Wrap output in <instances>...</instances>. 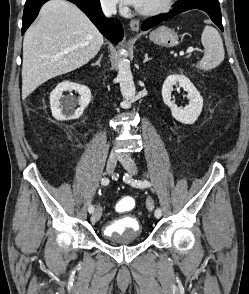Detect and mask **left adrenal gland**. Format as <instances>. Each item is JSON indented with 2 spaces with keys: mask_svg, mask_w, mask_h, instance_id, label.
Returning <instances> with one entry per match:
<instances>
[{
  "mask_svg": "<svg viewBox=\"0 0 249 294\" xmlns=\"http://www.w3.org/2000/svg\"><path fill=\"white\" fill-rule=\"evenodd\" d=\"M144 61L143 63H146L147 61H149L151 58L148 57V54L146 53L145 56H144Z\"/></svg>",
  "mask_w": 249,
  "mask_h": 294,
  "instance_id": "obj_1",
  "label": "left adrenal gland"
}]
</instances>
